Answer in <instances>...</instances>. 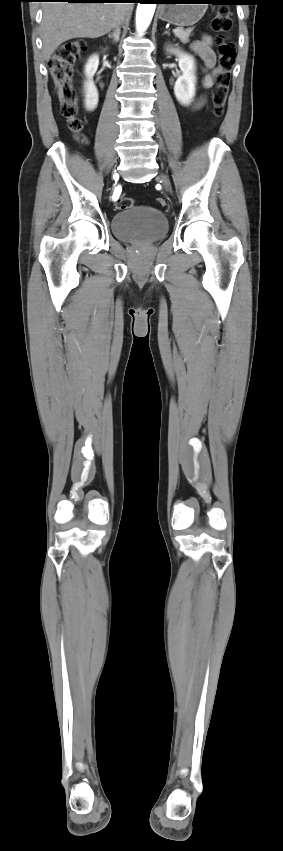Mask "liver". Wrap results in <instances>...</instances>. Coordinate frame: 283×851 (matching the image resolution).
<instances>
[{"instance_id":"6515ba94","label":"liver","mask_w":283,"mask_h":851,"mask_svg":"<svg viewBox=\"0 0 283 851\" xmlns=\"http://www.w3.org/2000/svg\"><path fill=\"white\" fill-rule=\"evenodd\" d=\"M124 8L125 17H129L133 9L130 3L46 2L41 23L44 60L48 61L54 51L70 39H94L107 34Z\"/></svg>"}]
</instances>
